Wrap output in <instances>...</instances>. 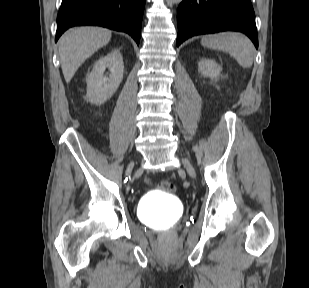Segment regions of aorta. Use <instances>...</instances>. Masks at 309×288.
Instances as JSON below:
<instances>
[{
  "mask_svg": "<svg viewBox=\"0 0 309 288\" xmlns=\"http://www.w3.org/2000/svg\"><path fill=\"white\" fill-rule=\"evenodd\" d=\"M182 0H166L167 4H177L180 3Z\"/></svg>",
  "mask_w": 309,
  "mask_h": 288,
  "instance_id": "762f6f07",
  "label": "aorta"
}]
</instances>
